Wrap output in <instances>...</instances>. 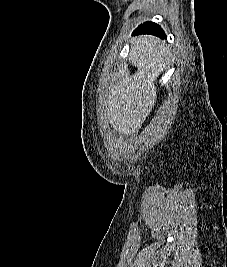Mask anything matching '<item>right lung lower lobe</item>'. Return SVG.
Returning <instances> with one entry per match:
<instances>
[{"mask_svg": "<svg viewBox=\"0 0 227 267\" xmlns=\"http://www.w3.org/2000/svg\"><path fill=\"white\" fill-rule=\"evenodd\" d=\"M138 34H151L156 35L160 38H166V35L164 31L161 29V27L153 22H145L142 25H140L135 31L133 32V35Z\"/></svg>", "mask_w": 227, "mask_h": 267, "instance_id": "right-lung-lower-lobe-1", "label": "right lung lower lobe"}]
</instances>
